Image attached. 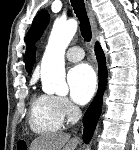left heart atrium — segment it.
Listing matches in <instances>:
<instances>
[{
    "mask_svg": "<svg viewBox=\"0 0 139 150\" xmlns=\"http://www.w3.org/2000/svg\"><path fill=\"white\" fill-rule=\"evenodd\" d=\"M70 95L78 104L87 103L96 89V74L88 64L74 66L68 73Z\"/></svg>",
    "mask_w": 139,
    "mask_h": 150,
    "instance_id": "left-heart-atrium-1",
    "label": "left heart atrium"
}]
</instances>
